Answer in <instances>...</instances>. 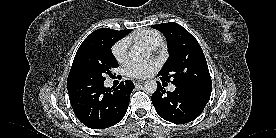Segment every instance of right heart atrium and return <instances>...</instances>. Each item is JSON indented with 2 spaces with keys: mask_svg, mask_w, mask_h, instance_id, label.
Listing matches in <instances>:
<instances>
[{
  "mask_svg": "<svg viewBox=\"0 0 276 138\" xmlns=\"http://www.w3.org/2000/svg\"><path fill=\"white\" fill-rule=\"evenodd\" d=\"M112 54L119 63H125L129 54V42L127 39L117 41L112 47Z\"/></svg>",
  "mask_w": 276,
  "mask_h": 138,
  "instance_id": "right-heart-atrium-1",
  "label": "right heart atrium"
}]
</instances>
